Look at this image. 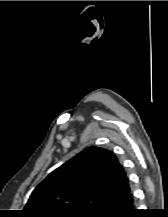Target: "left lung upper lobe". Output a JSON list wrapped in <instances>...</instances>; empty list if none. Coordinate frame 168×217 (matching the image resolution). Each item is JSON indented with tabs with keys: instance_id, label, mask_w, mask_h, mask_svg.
<instances>
[{
	"instance_id": "obj_1",
	"label": "left lung upper lobe",
	"mask_w": 168,
	"mask_h": 217,
	"mask_svg": "<svg viewBox=\"0 0 168 217\" xmlns=\"http://www.w3.org/2000/svg\"><path fill=\"white\" fill-rule=\"evenodd\" d=\"M128 184L111 151L89 147L50 173L34 189L24 212L28 217H97Z\"/></svg>"
}]
</instances>
